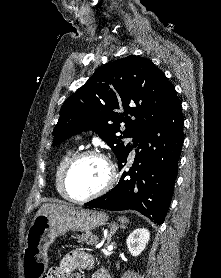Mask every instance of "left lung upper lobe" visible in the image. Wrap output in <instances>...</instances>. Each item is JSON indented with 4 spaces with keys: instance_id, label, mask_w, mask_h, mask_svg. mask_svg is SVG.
Here are the masks:
<instances>
[{
    "instance_id": "obj_1",
    "label": "left lung upper lobe",
    "mask_w": 221,
    "mask_h": 278,
    "mask_svg": "<svg viewBox=\"0 0 221 278\" xmlns=\"http://www.w3.org/2000/svg\"><path fill=\"white\" fill-rule=\"evenodd\" d=\"M177 100L174 86L151 60L134 55L118 59L99 68L64 102L53 130V144L93 130L119 162L130 151L124 139L132 136L135 141ZM121 123H125L124 131Z\"/></svg>"
}]
</instances>
